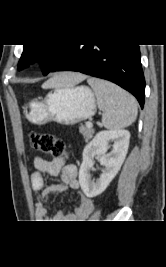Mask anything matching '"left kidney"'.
I'll list each match as a JSON object with an SVG mask.
<instances>
[{
	"instance_id": "5707ae66",
	"label": "left kidney",
	"mask_w": 166,
	"mask_h": 267,
	"mask_svg": "<svg viewBox=\"0 0 166 267\" xmlns=\"http://www.w3.org/2000/svg\"><path fill=\"white\" fill-rule=\"evenodd\" d=\"M130 133L123 129H111L96 134L83 150V162L79 170V183L87 197L101 194L116 176L123 164L129 146ZM113 142L112 151L107 150ZM100 156L104 169L99 178L91 179L90 170L94 166V157Z\"/></svg>"
}]
</instances>
